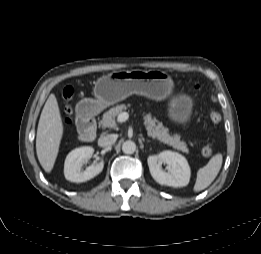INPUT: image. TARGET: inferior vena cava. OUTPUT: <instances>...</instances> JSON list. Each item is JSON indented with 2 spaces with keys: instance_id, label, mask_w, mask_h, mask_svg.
<instances>
[{
  "instance_id": "1",
  "label": "inferior vena cava",
  "mask_w": 261,
  "mask_h": 254,
  "mask_svg": "<svg viewBox=\"0 0 261 254\" xmlns=\"http://www.w3.org/2000/svg\"><path fill=\"white\" fill-rule=\"evenodd\" d=\"M117 140L116 134H102L98 139V145L101 147H106L114 144Z\"/></svg>"
}]
</instances>
